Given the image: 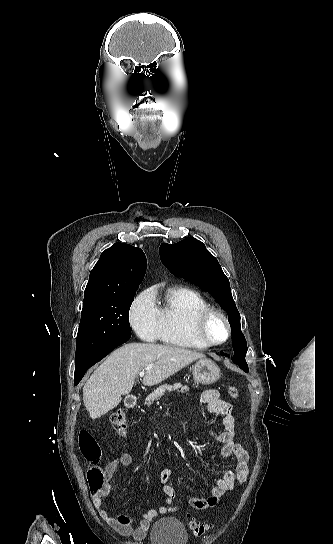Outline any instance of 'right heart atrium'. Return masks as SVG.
Masks as SVG:
<instances>
[{"label": "right heart atrium", "instance_id": "right-heart-atrium-1", "mask_svg": "<svg viewBox=\"0 0 333 544\" xmlns=\"http://www.w3.org/2000/svg\"><path fill=\"white\" fill-rule=\"evenodd\" d=\"M129 317L132 328L142 340L153 342L160 338L161 319L151 289L137 296L130 308Z\"/></svg>", "mask_w": 333, "mask_h": 544}]
</instances>
